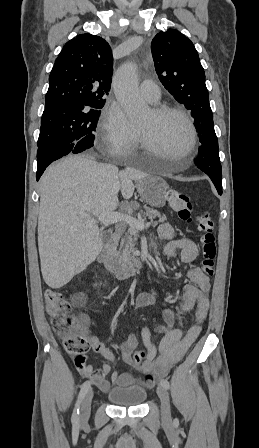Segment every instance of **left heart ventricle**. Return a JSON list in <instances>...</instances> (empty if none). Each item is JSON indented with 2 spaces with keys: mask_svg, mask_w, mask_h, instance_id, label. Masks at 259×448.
<instances>
[{
  "mask_svg": "<svg viewBox=\"0 0 259 448\" xmlns=\"http://www.w3.org/2000/svg\"><path fill=\"white\" fill-rule=\"evenodd\" d=\"M137 125L160 149L155 154L175 160L183 159V148L188 142L189 130L181 117L168 114L157 118L151 110Z\"/></svg>",
  "mask_w": 259,
  "mask_h": 448,
  "instance_id": "b2bd125f",
  "label": "left heart ventricle"
}]
</instances>
